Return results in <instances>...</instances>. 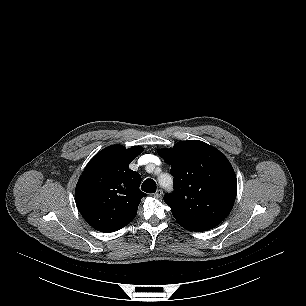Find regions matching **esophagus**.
Here are the masks:
<instances>
[{"instance_id": "34e87169", "label": "esophagus", "mask_w": 306, "mask_h": 306, "mask_svg": "<svg viewBox=\"0 0 306 306\" xmlns=\"http://www.w3.org/2000/svg\"><path fill=\"white\" fill-rule=\"evenodd\" d=\"M162 194H163V191H162L161 189H159V190L156 191V193L154 194V196H155L156 198H160V197L162 196Z\"/></svg>"}]
</instances>
